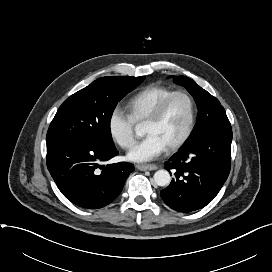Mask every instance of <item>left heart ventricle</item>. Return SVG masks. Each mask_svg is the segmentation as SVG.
I'll return each mask as SVG.
<instances>
[{"mask_svg":"<svg viewBox=\"0 0 272 272\" xmlns=\"http://www.w3.org/2000/svg\"><path fill=\"white\" fill-rule=\"evenodd\" d=\"M188 119V102L184 97L177 96L170 102L164 115L158 122L145 125V133L158 136L166 147H169L183 135Z\"/></svg>","mask_w":272,"mask_h":272,"instance_id":"1","label":"left heart ventricle"}]
</instances>
